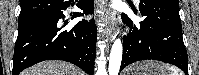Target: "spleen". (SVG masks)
<instances>
[{
    "label": "spleen",
    "instance_id": "spleen-1",
    "mask_svg": "<svg viewBox=\"0 0 199 75\" xmlns=\"http://www.w3.org/2000/svg\"><path fill=\"white\" fill-rule=\"evenodd\" d=\"M169 69L171 71L170 75H182V73L180 72V70L177 69L176 67H170Z\"/></svg>",
    "mask_w": 199,
    "mask_h": 75
}]
</instances>
